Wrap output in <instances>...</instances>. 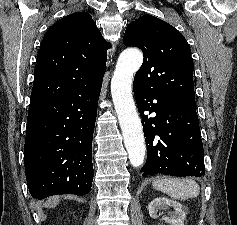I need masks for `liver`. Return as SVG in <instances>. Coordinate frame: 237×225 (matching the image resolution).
Wrapping results in <instances>:
<instances>
[{
    "instance_id": "1",
    "label": "liver",
    "mask_w": 237,
    "mask_h": 225,
    "mask_svg": "<svg viewBox=\"0 0 237 225\" xmlns=\"http://www.w3.org/2000/svg\"><path fill=\"white\" fill-rule=\"evenodd\" d=\"M59 200H60L59 197H51L45 203V207L46 208H54L58 205Z\"/></svg>"
}]
</instances>
